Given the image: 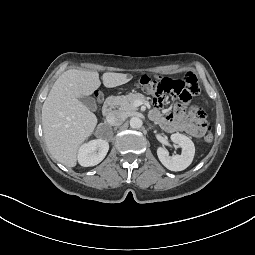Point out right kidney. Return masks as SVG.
Segmentation results:
<instances>
[{"label":"right kidney","mask_w":255,"mask_h":255,"mask_svg":"<svg viewBox=\"0 0 255 255\" xmlns=\"http://www.w3.org/2000/svg\"><path fill=\"white\" fill-rule=\"evenodd\" d=\"M108 150L109 144L106 140H91L79 147L78 162L83 167L95 166L105 158Z\"/></svg>","instance_id":"obj_1"}]
</instances>
